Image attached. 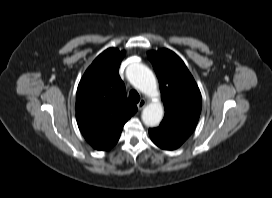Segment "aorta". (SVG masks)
Listing matches in <instances>:
<instances>
[{
    "instance_id": "762f6f07",
    "label": "aorta",
    "mask_w": 272,
    "mask_h": 198,
    "mask_svg": "<svg viewBox=\"0 0 272 198\" xmlns=\"http://www.w3.org/2000/svg\"><path fill=\"white\" fill-rule=\"evenodd\" d=\"M126 76L130 83L142 93L157 97V83L153 72L145 65L134 63L128 66ZM163 106L159 101L148 104L142 112V121L148 127L159 125L163 119Z\"/></svg>"
}]
</instances>
